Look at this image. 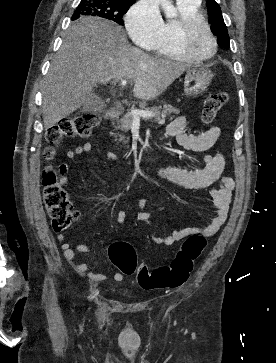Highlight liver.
<instances>
[{
  "label": "liver",
  "mask_w": 276,
  "mask_h": 363,
  "mask_svg": "<svg viewBox=\"0 0 276 363\" xmlns=\"http://www.w3.org/2000/svg\"><path fill=\"white\" fill-rule=\"evenodd\" d=\"M190 66L154 58L130 46L123 28L99 17H80L63 35L42 88L45 129L53 127L86 101L97 84L133 80V95L152 100Z\"/></svg>",
  "instance_id": "1"
}]
</instances>
